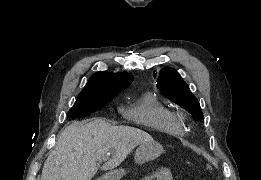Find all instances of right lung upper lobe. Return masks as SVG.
Wrapping results in <instances>:
<instances>
[{"label": "right lung upper lobe", "instance_id": "cb5924a9", "mask_svg": "<svg viewBox=\"0 0 261 180\" xmlns=\"http://www.w3.org/2000/svg\"><path fill=\"white\" fill-rule=\"evenodd\" d=\"M134 77L129 73H95L83 91V96H117L133 81Z\"/></svg>", "mask_w": 261, "mask_h": 180}]
</instances>
